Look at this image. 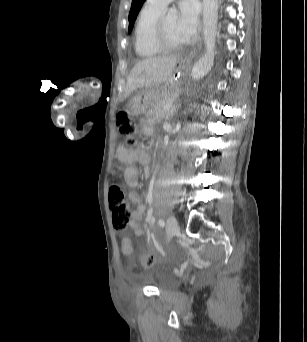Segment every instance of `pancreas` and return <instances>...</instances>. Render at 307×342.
<instances>
[{"label": "pancreas", "mask_w": 307, "mask_h": 342, "mask_svg": "<svg viewBox=\"0 0 307 342\" xmlns=\"http://www.w3.org/2000/svg\"><path fill=\"white\" fill-rule=\"evenodd\" d=\"M155 102L160 104V106H156V108H152L147 112V116H154L157 120H163L166 116H169L166 111L163 110L162 104H170L173 101L174 96L173 94H156L154 96Z\"/></svg>", "instance_id": "cf45deb5"}]
</instances>
